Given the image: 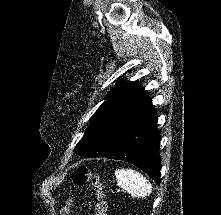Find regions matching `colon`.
Instances as JSON below:
<instances>
[{
  "label": "colon",
  "instance_id": "1",
  "mask_svg": "<svg viewBox=\"0 0 221 215\" xmlns=\"http://www.w3.org/2000/svg\"><path fill=\"white\" fill-rule=\"evenodd\" d=\"M72 180L77 185L91 184L96 192V203L93 208V215H107V205L103 198L102 185L98 176L93 174L86 166H79L72 174ZM70 202L61 210L59 215H69Z\"/></svg>",
  "mask_w": 221,
  "mask_h": 215
}]
</instances>
